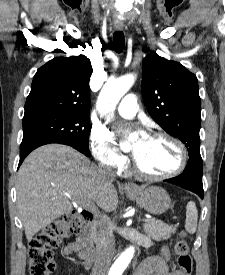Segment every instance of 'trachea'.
<instances>
[{
  "label": "trachea",
  "instance_id": "trachea-1",
  "mask_svg": "<svg viewBox=\"0 0 225 275\" xmlns=\"http://www.w3.org/2000/svg\"><path fill=\"white\" fill-rule=\"evenodd\" d=\"M125 41L124 34L122 31L114 33V49L117 53H121L124 49Z\"/></svg>",
  "mask_w": 225,
  "mask_h": 275
}]
</instances>
